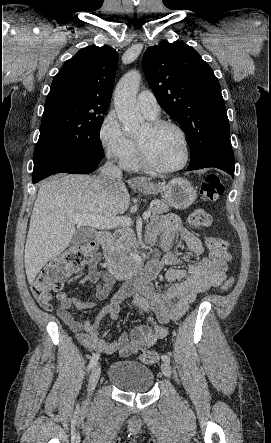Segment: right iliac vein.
<instances>
[{"label": "right iliac vein", "mask_w": 271, "mask_h": 443, "mask_svg": "<svg viewBox=\"0 0 271 443\" xmlns=\"http://www.w3.org/2000/svg\"><path fill=\"white\" fill-rule=\"evenodd\" d=\"M100 375H101V366L99 363H96L92 369V372H91L90 378H89L88 396H87L86 404H88L90 397L95 390V387L98 383Z\"/></svg>", "instance_id": "1"}]
</instances>
